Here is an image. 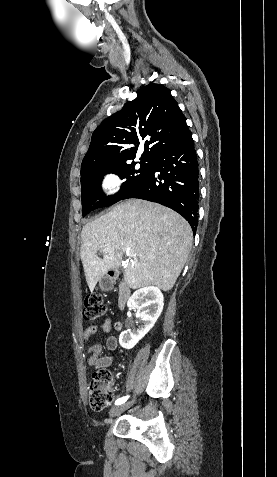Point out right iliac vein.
Here are the masks:
<instances>
[{
	"mask_svg": "<svg viewBox=\"0 0 277 477\" xmlns=\"http://www.w3.org/2000/svg\"><path fill=\"white\" fill-rule=\"evenodd\" d=\"M131 405V403H127V404H124V405H119V406H115L113 407L110 412H109V417L110 419H112L113 417L121 414L124 410H126L129 406Z\"/></svg>",
	"mask_w": 277,
	"mask_h": 477,
	"instance_id": "obj_1",
	"label": "right iliac vein"
}]
</instances>
